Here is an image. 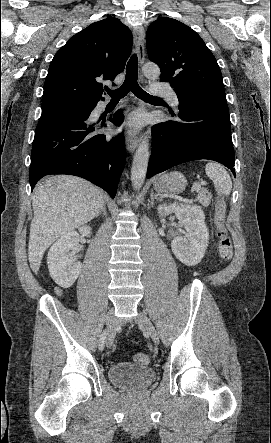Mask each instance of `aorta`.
<instances>
[{
    "instance_id": "1",
    "label": "aorta",
    "mask_w": 271,
    "mask_h": 443,
    "mask_svg": "<svg viewBox=\"0 0 271 443\" xmlns=\"http://www.w3.org/2000/svg\"><path fill=\"white\" fill-rule=\"evenodd\" d=\"M142 72L144 76H146V78H150V80H158L160 76V68H158L157 64H151V62H148V64L143 66ZM149 156L150 152L148 140L144 138L136 150L131 168V182L134 190H140L144 184L147 174Z\"/></svg>"
}]
</instances>
